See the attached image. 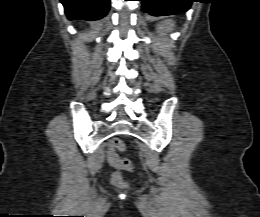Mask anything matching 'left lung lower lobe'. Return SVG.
<instances>
[{
  "label": "left lung lower lobe",
  "mask_w": 260,
  "mask_h": 217,
  "mask_svg": "<svg viewBox=\"0 0 260 217\" xmlns=\"http://www.w3.org/2000/svg\"><path fill=\"white\" fill-rule=\"evenodd\" d=\"M142 11L153 16H167L186 12L193 0H139Z\"/></svg>",
  "instance_id": "1"
}]
</instances>
